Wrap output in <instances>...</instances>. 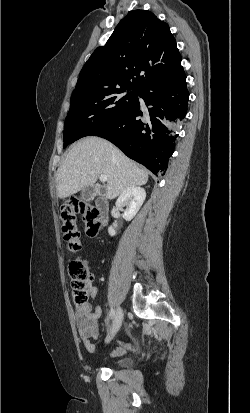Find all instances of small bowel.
Listing matches in <instances>:
<instances>
[{
  "label": "small bowel",
  "instance_id": "c3829d8e",
  "mask_svg": "<svg viewBox=\"0 0 250 413\" xmlns=\"http://www.w3.org/2000/svg\"><path fill=\"white\" fill-rule=\"evenodd\" d=\"M85 265L88 269H91V265L88 260H84ZM97 287L91 286L90 295L94 298L97 295ZM102 314V309L99 305L92 307L91 304L83 308H78L76 311V328L78 335L89 353H94L95 345L93 340L97 339L99 336V324L98 319ZM125 351V346L121 345L114 352L112 356H118Z\"/></svg>",
  "mask_w": 250,
  "mask_h": 413
}]
</instances>
